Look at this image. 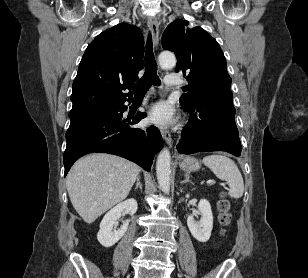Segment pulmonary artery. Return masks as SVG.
I'll list each match as a JSON object with an SVG mask.
<instances>
[{
  "mask_svg": "<svg viewBox=\"0 0 308 278\" xmlns=\"http://www.w3.org/2000/svg\"><path fill=\"white\" fill-rule=\"evenodd\" d=\"M164 81L168 87H175L180 84V79L176 74H168Z\"/></svg>",
  "mask_w": 308,
  "mask_h": 278,
  "instance_id": "e3ab8cb5",
  "label": "pulmonary artery"
}]
</instances>
